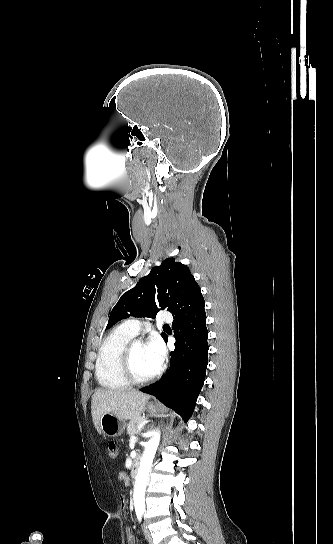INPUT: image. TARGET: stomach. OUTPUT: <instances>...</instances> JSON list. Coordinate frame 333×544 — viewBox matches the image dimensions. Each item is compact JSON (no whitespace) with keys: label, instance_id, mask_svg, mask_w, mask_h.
Here are the masks:
<instances>
[{"label":"stomach","instance_id":"0dacf381","mask_svg":"<svg viewBox=\"0 0 333 544\" xmlns=\"http://www.w3.org/2000/svg\"><path fill=\"white\" fill-rule=\"evenodd\" d=\"M148 410L151 414H156L158 408L155 405H148ZM100 432L107 437H116L121 435L125 423L122 419L116 417L112 413H105L100 419Z\"/></svg>","mask_w":333,"mask_h":544}]
</instances>
